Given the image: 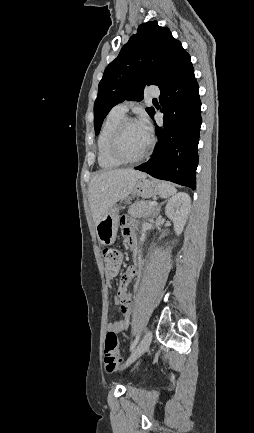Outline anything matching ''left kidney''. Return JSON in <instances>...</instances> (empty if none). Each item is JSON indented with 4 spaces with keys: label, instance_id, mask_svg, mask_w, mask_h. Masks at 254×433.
<instances>
[{
    "label": "left kidney",
    "instance_id": "left-kidney-1",
    "mask_svg": "<svg viewBox=\"0 0 254 433\" xmlns=\"http://www.w3.org/2000/svg\"><path fill=\"white\" fill-rule=\"evenodd\" d=\"M190 206L191 198L185 192H179L168 200L165 213L174 223V231L177 235H180L184 229Z\"/></svg>",
    "mask_w": 254,
    "mask_h": 433
}]
</instances>
